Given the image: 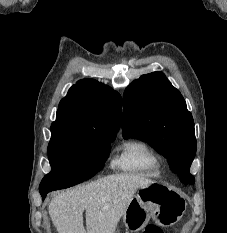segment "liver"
I'll return each mask as SVG.
<instances>
[{"instance_id":"6515ba94","label":"liver","mask_w":227,"mask_h":233,"mask_svg":"<svg viewBox=\"0 0 227 233\" xmlns=\"http://www.w3.org/2000/svg\"><path fill=\"white\" fill-rule=\"evenodd\" d=\"M152 183L137 174L105 176L55 196L49 215L58 233H114L135 192Z\"/></svg>"}]
</instances>
